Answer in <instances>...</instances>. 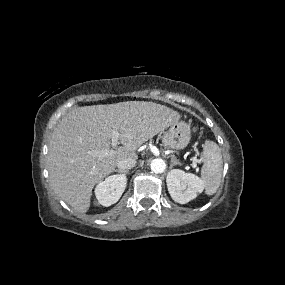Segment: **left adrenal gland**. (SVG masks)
Wrapping results in <instances>:
<instances>
[{
  "label": "left adrenal gland",
  "mask_w": 285,
  "mask_h": 285,
  "mask_svg": "<svg viewBox=\"0 0 285 285\" xmlns=\"http://www.w3.org/2000/svg\"><path fill=\"white\" fill-rule=\"evenodd\" d=\"M175 165H181V163L177 160L175 156H171V163H170V168H172Z\"/></svg>",
  "instance_id": "left-adrenal-gland-1"
}]
</instances>
